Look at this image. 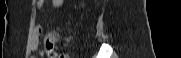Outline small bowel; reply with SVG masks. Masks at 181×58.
<instances>
[{"instance_id":"obj_1","label":"small bowel","mask_w":181,"mask_h":58,"mask_svg":"<svg viewBox=\"0 0 181 58\" xmlns=\"http://www.w3.org/2000/svg\"><path fill=\"white\" fill-rule=\"evenodd\" d=\"M52 4L56 8H61L64 6L65 0H52ZM35 5H36V10L41 11L43 8V5H44V0L36 1ZM40 34H41V27L36 26L34 29V40L32 42V50L33 51H36L38 48V44H39L38 38H39ZM48 38H51L54 40V36L52 34L48 35L46 39H48Z\"/></svg>"}]
</instances>
